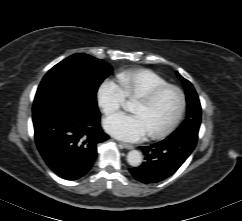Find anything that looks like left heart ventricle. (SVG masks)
<instances>
[{"mask_svg":"<svg viewBox=\"0 0 242 221\" xmlns=\"http://www.w3.org/2000/svg\"><path fill=\"white\" fill-rule=\"evenodd\" d=\"M178 107V95L174 91H167L152 104L136 101L132 111L144 119L148 132H153L168 125L176 115Z\"/></svg>","mask_w":242,"mask_h":221,"instance_id":"1","label":"left heart ventricle"}]
</instances>
